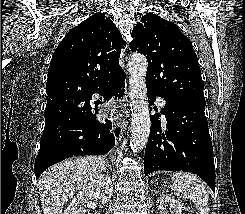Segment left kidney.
Segmentation results:
<instances>
[{
    "instance_id": "1",
    "label": "left kidney",
    "mask_w": 245,
    "mask_h": 214,
    "mask_svg": "<svg viewBox=\"0 0 245 214\" xmlns=\"http://www.w3.org/2000/svg\"><path fill=\"white\" fill-rule=\"evenodd\" d=\"M183 205L169 195L160 198L158 212L159 214H185L182 213Z\"/></svg>"
}]
</instances>
